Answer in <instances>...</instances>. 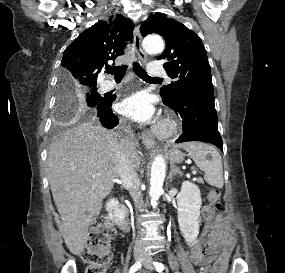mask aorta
<instances>
[{
  "mask_svg": "<svg viewBox=\"0 0 285 273\" xmlns=\"http://www.w3.org/2000/svg\"><path fill=\"white\" fill-rule=\"evenodd\" d=\"M143 47L147 53H160L164 49V42L159 36H147L143 41ZM166 173V163L161 155L156 156L151 167L150 191L151 204L157 205L163 193V183Z\"/></svg>",
  "mask_w": 285,
  "mask_h": 273,
  "instance_id": "obj_1",
  "label": "aorta"
}]
</instances>
